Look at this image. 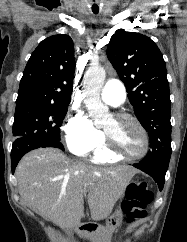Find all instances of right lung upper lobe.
<instances>
[{
    "label": "right lung upper lobe",
    "mask_w": 187,
    "mask_h": 242,
    "mask_svg": "<svg viewBox=\"0 0 187 242\" xmlns=\"http://www.w3.org/2000/svg\"><path fill=\"white\" fill-rule=\"evenodd\" d=\"M74 68V44L68 35L43 40L25 67L16 107H67L73 91Z\"/></svg>",
    "instance_id": "cb5924a9"
}]
</instances>
